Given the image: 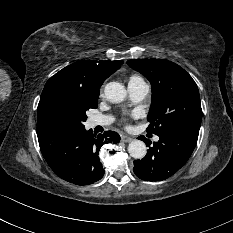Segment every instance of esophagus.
Here are the masks:
<instances>
[{
  "label": "esophagus",
  "mask_w": 233,
  "mask_h": 233,
  "mask_svg": "<svg viewBox=\"0 0 233 233\" xmlns=\"http://www.w3.org/2000/svg\"><path fill=\"white\" fill-rule=\"evenodd\" d=\"M121 140H122L123 142L128 143V142H131V141L133 140V138L130 137V136H127V135H123V136H121Z\"/></svg>",
  "instance_id": "obj_1"
}]
</instances>
